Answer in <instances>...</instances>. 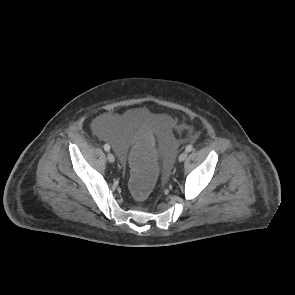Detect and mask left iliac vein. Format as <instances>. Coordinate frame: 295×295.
Masks as SVG:
<instances>
[{"label": "left iliac vein", "mask_w": 295, "mask_h": 295, "mask_svg": "<svg viewBox=\"0 0 295 295\" xmlns=\"http://www.w3.org/2000/svg\"><path fill=\"white\" fill-rule=\"evenodd\" d=\"M186 158H187V153H186V152H183V153H181V154L179 155L178 160H179L180 162H182V161H184Z\"/></svg>", "instance_id": "4c4485c4"}]
</instances>
